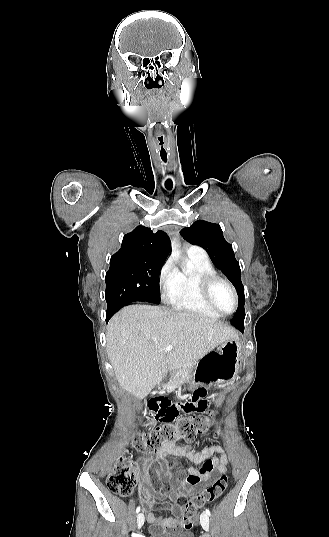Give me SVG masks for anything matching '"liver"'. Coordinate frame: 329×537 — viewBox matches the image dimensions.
Here are the masks:
<instances>
[{"instance_id": "obj_1", "label": "liver", "mask_w": 329, "mask_h": 537, "mask_svg": "<svg viewBox=\"0 0 329 537\" xmlns=\"http://www.w3.org/2000/svg\"><path fill=\"white\" fill-rule=\"evenodd\" d=\"M237 337L234 328L214 319L131 305L109 321L107 354L119 385L142 399L164 379L167 368L174 372L192 365ZM168 345L173 348L165 354Z\"/></svg>"}]
</instances>
